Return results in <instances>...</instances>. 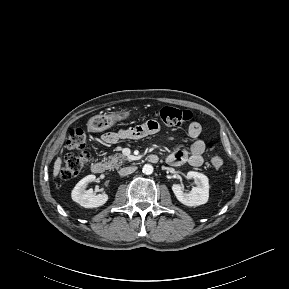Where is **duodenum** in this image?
Instances as JSON below:
<instances>
[{"label":"duodenum","mask_w":289,"mask_h":289,"mask_svg":"<svg viewBox=\"0 0 289 289\" xmlns=\"http://www.w3.org/2000/svg\"><path fill=\"white\" fill-rule=\"evenodd\" d=\"M147 159L151 163H157L159 157L156 154H150ZM91 171L95 174H102L106 171V165L101 161H95L91 164Z\"/></svg>","instance_id":"obj_1"}]
</instances>
